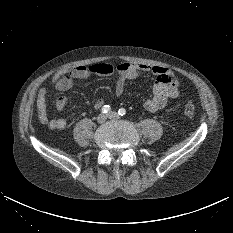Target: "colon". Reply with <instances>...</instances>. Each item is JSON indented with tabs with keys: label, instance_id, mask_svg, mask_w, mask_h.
Here are the masks:
<instances>
[{
	"label": "colon",
	"instance_id": "5ec220e1",
	"mask_svg": "<svg viewBox=\"0 0 233 233\" xmlns=\"http://www.w3.org/2000/svg\"><path fill=\"white\" fill-rule=\"evenodd\" d=\"M184 114L188 118H193L195 115V108L191 101H186L184 105Z\"/></svg>",
	"mask_w": 233,
	"mask_h": 233
}]
</instances>
